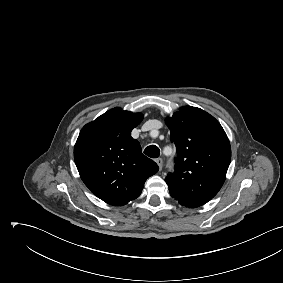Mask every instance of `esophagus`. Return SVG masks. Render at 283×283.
<instances>
[{
	"mask_svg": "<svg viewBox=\"0 0 283 283\" xmlns=\"http://www.w3.org/2000/svg\"><path fill=\"white\" fill-rule=\"evenodd\" d=\"M155 161H156L157 165L159 166V168L162 169V166H163L162 158H157Z\"/></svg>",
	"mask_w": 283,
	"mask_h": 283,
	"instance_id": "obj_1",
	"label": "esophagus"
}]
</instances>
